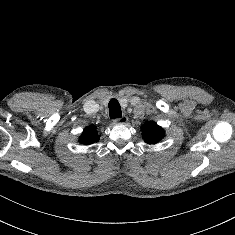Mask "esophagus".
Listing matches in <instances>:
<instances>
[{
    "label": "esophagus",
    "mask_w": 235,
    "mask_h": 235,
    "mask_svg": "<svg viewBox=\"0 0 235 235\" xmlns=\"http://www.w3.org/2000/svg\"><path fill=\"white\" fill-rule=\"evenodd\" d=\"M113 122L114 124H126L128 122V118L126 116H121L119 118H115Z\"/></svg>",
    "instance_id": "obj_1"
}]
</instances>
